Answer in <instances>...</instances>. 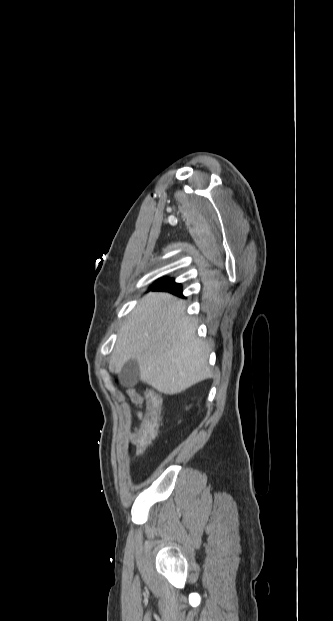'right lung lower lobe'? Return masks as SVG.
<instances>
[{
    "instance_id": "98d812e1",
    "label": "right lung lower lobe",
    "mask_w": 333,
    "mask_h": 621,
    "mask_svg": "<svg viewBox=\"0 0 333 621\" xmlns=\"http://www.w3.org/2000/svg\"><path fill=\"white\" fill-rule=\"evenodd\" d=\"M152 290L154 291H168L172 294L182 296V286L179 283L174 282L173 279L165 278L156 283Z\"/></svg>"
}]
</instances>
